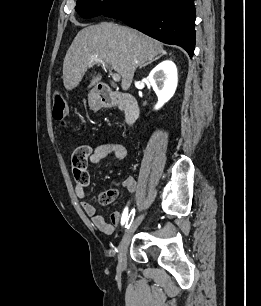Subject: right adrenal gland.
I'll list each match as a JSON object with an SVG mask.
<instances>
[{"mask_svg": "<svg viewBox=\"0 0 261 306\" xmlns=\"http://www.w3.org/2000/svg\"><path fill=\"white\" fill-rule=\"evenodd\" d=\"M162 55H166V52L164 53V54H162ZM161 55V56H162ZM161 56H159V57H157V58H155V59H153V60H151V61H149V62H147V63H145V64H143V65H141L140 67H139V69H141L142 67H145V66H147V65H150L151 63H153L154 61H156L157 59H159Z\"/></svg>", "mask_w": 261, "mask_h": 306, "instance_id": "right-adrenal-gland-1", "label": "right adrenal gland"}]
</instances>
